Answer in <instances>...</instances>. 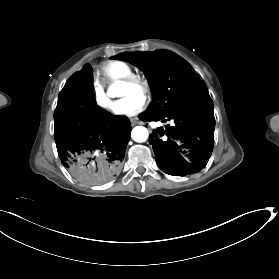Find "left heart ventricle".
Instances as JSON below:
<instances>
[{"instance_id":"1","label":"left heart ventricle","mask_w":279,"mask_h":279,"mask_svg":"<svg viewBox=\"0 0 279 279\" xmlns=\"http://www.w3.org/2000/svg\"><path fill=\"white\" fill-rule=\"evenodd\" d=\"M127 96H141L138 90H135L127 85H119L118 97L124 98Z\"/></svg>"}]
</instances>
